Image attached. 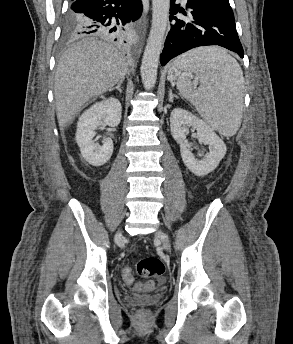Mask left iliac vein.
Returning a JSON list of instances; mask_svg holds the SVG:
<instances>
[{
  "mask_svg": "<svg viewBox=\"0 0 293 344\" xmlns=\"http://www.w3.org/2000/svg\"><path fill=\"white\" fill-rule=\"evenodd\" d=\"M155 236L162 241L163 247L166 250H169V239L168 236L160 229H158L155 233Z\"/></svg>",
  "mask_w": 293,
  "mask_h": 344,
  "instance_id": "obj_1",
  "label": "left iliac vein"
}]
</instances>
